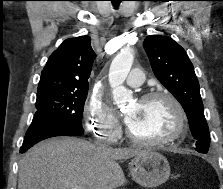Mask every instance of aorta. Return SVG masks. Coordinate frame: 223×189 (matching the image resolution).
<instances>
[{"mask_svg":"<svg viewBox=\"0 0 223 189\" xmlns=\"http://www.w3.org/2000/svg\"><path fill=\"white\" fill-rule=\"evenodd\" d=\"M134 60L133 50L122 49L113 59L109 70V84L112 88L114 103L118 108H126L131 100V93L123 86Z\"/></svg>","mask_w":223,"mask_h":189,"instance_id":"762f6f07","label":"aorta"}]
</instances>
